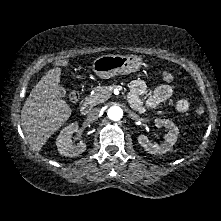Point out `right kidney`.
I'll return each mask as SVG.
<instances>
[{"mask_svg": "<svg viewBox=\"0 0 221 221\" xmlns=\"http://www.w3.org/2000/svg\"><path fill=\"white\" fill-rule=\"evenodd\" d=\"M78 123H71L66 126L57 138L56 145L61 155L66 157L78 156L86 150V143L80 141L77 145H72L71 135L78 131Z\"/></svg>", "mask_w": 221, "mask_h": 221, "instance_id": "right-kidney-1", "label": "right kidney"}]
</instances>
